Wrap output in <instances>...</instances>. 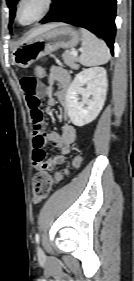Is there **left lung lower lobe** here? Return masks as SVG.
<instances>
[{"label":"left lung lower lobe","mask_w":134,"mask_h":281,"mask_svg":"<svg viewBox=\"0 0 134 281\" xmlns=\"http://www.w3.org/2000/svg\"><path fill=\"white\" fill-rule=\"evenodd\" d=\"M116 0H57L40 22L62 21L101 36L114 53Z\"/></svg>","instance_id":"0a47b994"}]
</instances>
